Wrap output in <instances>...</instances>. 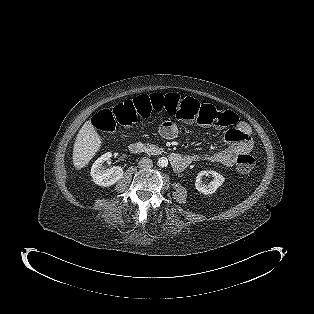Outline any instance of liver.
I'll return each instance as SVG.
<instances>
[{"label": "liver", "mask_w": 314, "mask_h": 314, "mask_svg": "<svg viewBox=\"0 0 314 314\" xmlns=\"http://www.w3.org/2000/svg\"><path fill=\"white\" fill-rule=\"evenodd\" d=\"M102 140L90 121L84 123L77 134L73 148V165L77 170L85 167L100 150Z\"/></svg>", "instance_id": "obj_1"}]
</instances>
